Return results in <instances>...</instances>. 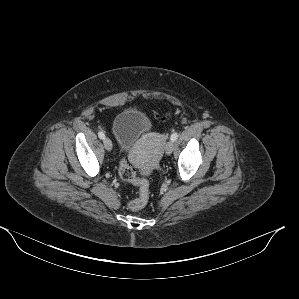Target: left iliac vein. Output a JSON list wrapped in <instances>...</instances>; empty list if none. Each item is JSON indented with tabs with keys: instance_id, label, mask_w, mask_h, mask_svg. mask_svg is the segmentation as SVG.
Returning <instances> with one entry per match:
<instances>
[{
	"instance_id": "left-iliac-vein-1",
	"label": "left iliac vein",
	"mask_w": 299,
	"mask_h": 299,
	"mask_svg": "<svg viewBox=\"0 0 299 299\" xmlns=\"http://www.w3.org/2000/svg\"><path fill=\"white\" fill-rule=\"evenodd\" d=\"M173 148H174V141L172 140L168 141L165 147L166 154L170 155L173 151Z\"/></svg>"
}]
</instances>
